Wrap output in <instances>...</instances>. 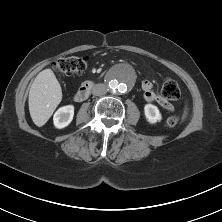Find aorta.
<instances>
[{"label":"aorta","instance_id":"obj_1","mask_svg":"<svg viewBox=\"0 0 222 222\" xmlns=\"http://www.w3.org/2000/svg\"><path fill=\"white\" fill-rule=\"evenodd\" d=\"M107 83L113 93L126 92L133 83L130 68L125 66L113 70L108 76Z\"/></svg>","mask_w":222,"mask_h":222}]
</instances>
